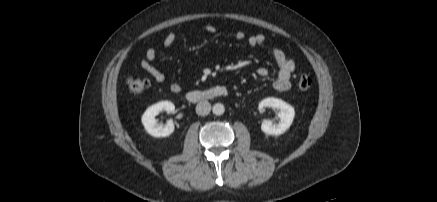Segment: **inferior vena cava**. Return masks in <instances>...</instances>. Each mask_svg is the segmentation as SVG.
I'll return each mask as SVG.
<instances>
[{
  "mask_svg": "<svg viewBox=\"0 0 437 202\" xmlns=\"http://www.w3.org/2000/svg\"><path fill=\"white\" fill-rule=\"evenodd\" d=\"M211 111V104L208 101H200L196 105V113L200 116L208 115Z\"/></svg>",
  "mask_w": 437,
  "mask_h": 202,
  "instance_id": "inferior-vena-cava-1",
  "label": "inferior vena cava"
}]
</instances>
